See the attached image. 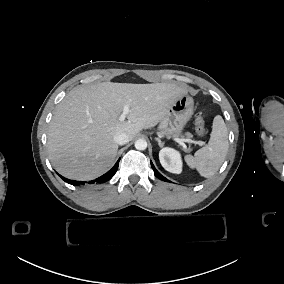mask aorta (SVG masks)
I'll use <instances>...</instances> for the list:
<instances>
[{
	"label": "aorta",
	"mask_w": 284,
	"mask_h": 284,
	"mask_svg": "<svg viewBox=\"0 0 284 284\" xmlns=\"http://www.w3.org/2000/svg\"><path fill=\"white\" fill-rule=\"evenodd\" d=\"M135 148L137 150H145L147 148V142L145 139H138L135 142Z\"/></svg>",
	"instance_id": "1"
}]
</instances>
